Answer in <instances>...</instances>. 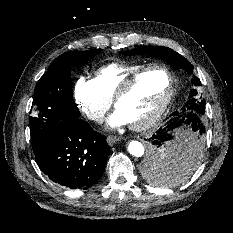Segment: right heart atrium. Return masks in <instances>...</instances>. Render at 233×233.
<instances>
[{
	"instance_id": "d8ad5b80",
	"label": "right heart atrium",
	"mask_w": 233,
	"mask_h": 233,
	"mask_svg": "<svg viewBox=\"0 0 233 233\" xmlns=\"http://www.w3.org/2000/svg\"><path fill=\"white\" fill-rule=\"evenodd\" d=\"M73 97L81 114L92 122L101 121L110 107V101L103 97L93 78L78 77Z\"/></svg>"
}]
</instances>
